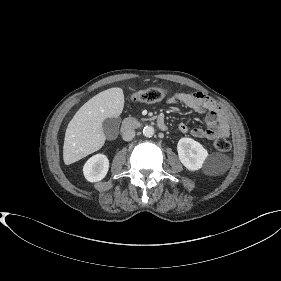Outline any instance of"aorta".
Returning <instances> with one entry per match:
<instances>
[{"label":"aorta","instance_id":"aorta-1","mask_svg":"<svg viewBox=\"0 0 281 281\" xmlns=\"http://www.w3.org/2000/svg\"><path fill=\"white\" fill-rule=\"evenodd\" d=\"M155 131L154 128L152 126H145L143 128V135L145 137H152L154 135Z\"/></svg>","mask_w":281,"mask_h":281}]
</instances>
